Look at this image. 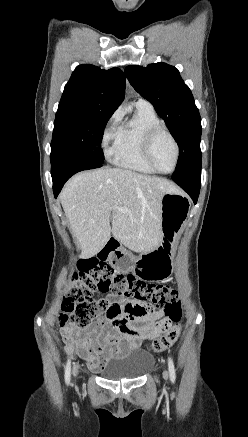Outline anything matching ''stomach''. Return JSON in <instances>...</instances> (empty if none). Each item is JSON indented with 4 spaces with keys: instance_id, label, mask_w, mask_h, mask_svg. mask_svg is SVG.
Wrapping results in <instances>:
<instances>
[{
    "instance_id": "1",
    "label": "stomach",
    "mask_w": 248,
    "mask_h": 437,
    "mask_svg": "<svg viewBox=\"0 0 248 437\" xmlns=\"http://www.w3.org/2000/svg\"><path fill=\"white\" fill-rule=\"evenodd\" d=\"M189 201L180 193H165L161 202L160 244L148 253L135 257L120 249L114 255L115 272L136 273L137 279H148L149 286H159L160 279H168L175 244L187 219Z\"/></svg>"
}]
</instances>
